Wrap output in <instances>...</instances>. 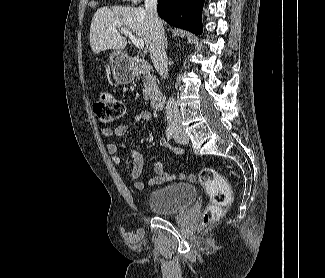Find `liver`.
Here are the masks:
<instances>
[{
  "label": "liver",
  "mask_w": 325,
  "mask_h": 278,
  "mask_svg": "<svg viewBox=\"0 0 325 278\" xmlns=\"http://www.w3.org/2000/svg\"><path fill=\"white\" fill-rule=\"evenodd\" d=\"M122 28L138 35L147 46L150 44L149 19L143 7H101L95 12L90 25L92 52L124 49L127 40L119 33Z\"/></svg>",
  "instance_id": "6515ba94"
}]
</instances>
